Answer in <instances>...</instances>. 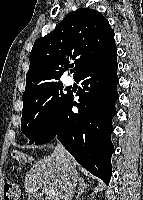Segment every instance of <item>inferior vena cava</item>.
<instances>
[{"instance_id": "obj_1", "label": "inferior vena cava", "mask_w": 143, "mask_h": 200, "mask_svg": "<svg viewBox=\"0 0 143 200\" xmlns=\"http://www.w3.org/2000/svg\"><path fill=\"white\" fill-rule=\"evenodd\" d=\"M55 152L65 157L64 161L69 173V177L71 179V183L69 184V189L70 192H73L77 186L78 175L76 169L71 164V155L68 153V151L64 148V146L61 143H57V146L55 147ZM69 200H71V198Z\"/></svg>"}]
</instances>
